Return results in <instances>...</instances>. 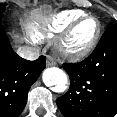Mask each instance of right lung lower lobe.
I'll return each instance as SVG.
<instances>
[{"instance_id": "98d812e1", "label": "right lung lower lobe", "mask_w": 117, "mask_h": 117, "mask_svg": "<svg viewBox=\"0 0 117 117\" xmlns=\"http://www.w3.org/2000/svg\"><path fill=\"white\" fill-rule=\"evenodd\" d=\"M0 15V117H18L27 103L31 85L45 68L46 57L28 61L12 49Z\"/></svg>"}]
</instances>
